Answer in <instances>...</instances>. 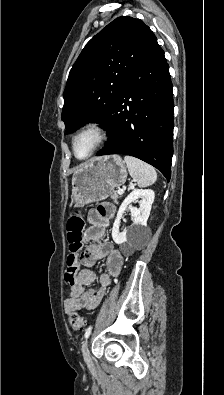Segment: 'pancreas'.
Instances as JSON below:
<instances>
[{
	"instance_id": "pancreas-1",
	"label": "pancreas",
	"mask_w": 224,
	"mask_h": 395,
	"mask_svg": "<svg viewBox=\"0 0 224 395\" xmlns=\"http://www.w3.org/2000/svg\"><path fill=\"white\" fill-rule=\"evenodd\" d=\"M119 197H120V196H119L118 193H116V192H114V193L111 195V199H112L115 203H117V200H118Z\"/></svg>"
}]
</instances>
